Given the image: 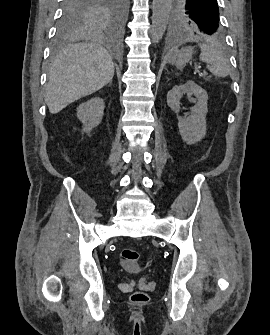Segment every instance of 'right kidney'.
I'll return each mask as SVG.
<instances>
[{
  "label": "right kidney",
  "mask_w": 270,
  "mask_h": 335,
  "mask_svg": "<svg viewBox=\"0 0 270 335\" xmlns=\"http://www.w3.org/2000/svg\"><path fill=\"white\" fill-rule=\"evenodd\" d=\"M104 100L102 98H91L88 102L80 104L77 108L78 120L83 124V132H91L93 128L102 122Z\"/></svg>",
  "instance_id": "ca27d5eb"
}]
</instances>
